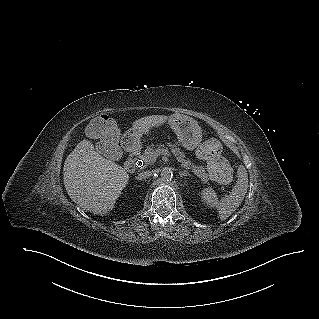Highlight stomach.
<instances>
[{
  "instance_id": "1",
  "label": "stomach",
  "mask_w": 319,
  "mask_h": 319,
  "mask_svg": "<svg viewBox=\"0 0 319 319\" xmlns=\"http://www.w3.org/2000/svg\"><path fill=\"white\" fill-rule=\"evenodd\" d=\"M169 124L175 134L178 141L187 150H194L202 141V130L198 125V122L194 119L176 114L170 117ZM144 130L130 129L128 134L133 138H138Z\"/></svg>"
}]
</instances>
